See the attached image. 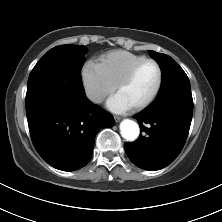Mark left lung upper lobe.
Wrapping results in <instances>:
<instances>
[{
  "mask_svg": "<svg viewBox=\"0 0 222 222\" xmlns=\"http://www.w3.org/2000/svg\"><path fill=\"white\" fill-rule=\"evenodd\" d=\"M149 52L162 71L161 88L157 98L173 92L191 93L189 78L170 56L152 50Z\"/></svg>",
  "mask_w": 222,
  "mask_h": 222,
  "instance_id": "left-lung-upper-lobe-1",
  "label": "left lung upper lobe"
}]
</instances>
